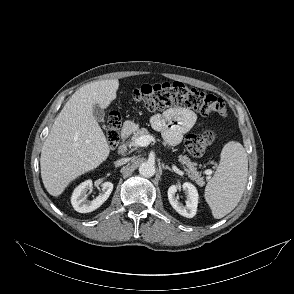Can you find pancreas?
Masks as SVG:
<instances>
[{
	"mask_svg": "<svg viewBox=\"0 0 294 294\" xmlns=\"http://www.w3.org/2000/svg\"><path fill=\"white\" fill-rule=\"evenodd\" d=\"M143 135H149V132L146 128H140L134 131L131 138L132 145H135V140ZM178 161L184 165V170L187 172L188 176L196 182L197 185L203 186L205 184L204 179L196 169V164L193 163L189 157L186 155H180Z\"/></svg>",
	"mask_w": 294,
	"mask_h": 294,
	"instance_id": "1",
	"label": "pancreas"
}]
</instances>
